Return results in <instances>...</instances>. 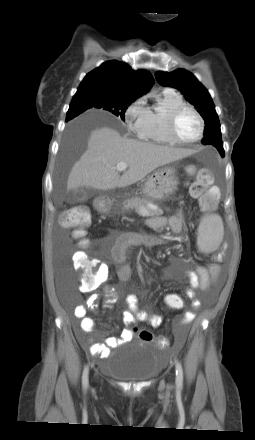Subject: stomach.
<instances>
[{
    "mask_svg": "<svg viewBox=\"0 0 255 440\" xmlns=\"http://www.w3.org/2000/svg\"><path fill=\"white\" fill-rule=\"evenodd\" d=\"M178 179L175 170L170 167H164L156 170L150 175L143 185V193L152 200H163L170 196L177 189ZM104 210L108 207L104 206Z\"/></svg>",
    "mask_w": 255,
    "mask_h": 440,
    "instance_id": "0dacf381",
    "label": "stomach"
}]
</instances>
